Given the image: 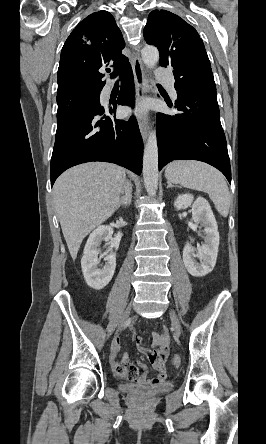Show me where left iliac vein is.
Returning a JSON list of instances; mask_svg holds the SVG:
<instances>
[{"label": "left iliac vein", "instance_id": "obj_1", "mask_svg": "<svg viewBox=\"0 0 266 444\" xmlns=\"http://www.w3.org/2000/svg\"><path fill=\"white\" fill-rule=\"evenodd\" d=\"M170 316H171L172 325H173V329H174L175 333L180 334L181 329H180L179 320H178L176 314L173 311H170Z\"/></svg>", "mask_w": 266, "mask_h": 444}]
</instances>
